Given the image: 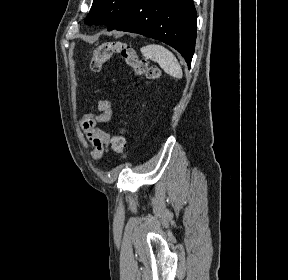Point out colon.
Wrapping results in <instances>:
<instances>
[{
	"instance_id": "1",
	"label": "colon",
	"mask_w": 288,
	"mask_h": 280,
	"mask_svg": "<svg viewBox=\"0 0 288 280\" xmlns=\"http://www.w3.org/2000/svg\"><path fill=\"white\" fill-rule=\"evenodd\" d=\"M114 55L121 56L124 62L134 69L136 74L144 75L149 81L159 76L157 67L151 65L147 60L140 58L131 45L121 41L105 42L95 48L90 58L91 72H100ZM110 146L114 152L123 157H127V145L122 132H119L111 138Z\"/></svg>"
}]
</instances>
